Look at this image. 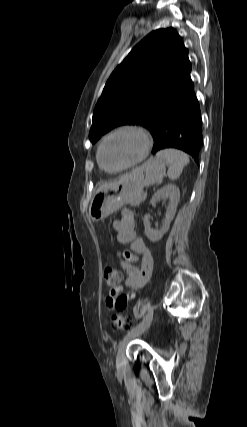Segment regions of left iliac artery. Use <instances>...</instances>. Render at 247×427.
<instances>
[{"mask_svg": "<svg viewBox=\"0 0 247 427\" xmlns=\"http://www.w3.org/2000/svg\"><path fill=\"white\" fill-rule=\"evenodd\" d=\"M152 315H153V308L152 307H150L149 309H148V313H147V315L143 318V320L138 324V325H136L135 327H133L131 330H129L128 331V333H127V335H129L130 333H132L133 331H135L136 329H138V328H140L142 325H144V323L150 318V317H152Z\"/></svg>", "mask_w": 247, "mask_h": 427, "instance_id": "left-iliac-artery-1", "label": "left iliac artery"}]
</instances>
